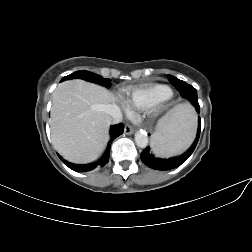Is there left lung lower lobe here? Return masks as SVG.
I'll list each match as a JSON object with an SVG mask.
<instances>
[{"label": "left lung lower lobe", "instance_id": "left-lung-lower-lobe-1", "mask_svg": "<svg viewBox=\"0 0 252 252\" xmlns=\"http://www.w3.org/2000/svg\"><path fill=\"white\" fill-rule=\"evenodd\" d=\"M174 86L180 92L182 97L188 99L196 107V110L199 113L200 106L198 103L196 89L184 81H180L178 83H175ZM198 122H199V124H198V131H197L196 139H195L193 145L191 146V148L188 151H186L184 154H182L178 157H173V158H169V159H161V158H157L156 156H154V154L152 153L150 148L147 147L146 149L143 150V152L140 155L142 162L145 165H147L148 167L155 169V170H170V169H173V168L180 166L193 153V151L198 143L199 136H200V130H201L200 118L198 119Z\"/></svg>", "mask_w": 252, "mask_h": 252}]
</instances>
